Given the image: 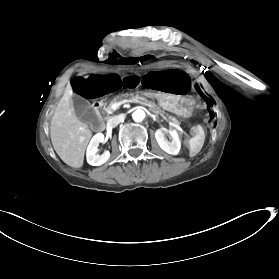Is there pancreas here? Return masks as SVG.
Wrapping results in <instances>:
<instances>
[{
	"label": "pancreas",
	"mask_w": 279,
	"mask_h": 279,
	"mask_svg": "<svg viewBox=\"0 0 279 279\" xmlns=\"http://www.w3.org/2000/svg\"><path fill=\"white\" fill-rule=\"evenodd\" d=\"M125 97H130V98H133L134 95L133 94H120V95H117L115 96L111 101L110 103L105 107V111L107 112H113V109H112V105L114 103H116L117 101L125 98ZM135 100L137 102H140L141 101V104L143 106H146L148 109H151V111L153 113H157L158 115H161V117L163 118H166V119H169V120H173L175 118V115L173 113H168L166 110H163L162 108H157L156 105L154 103H151L148 99L146 98H143L140 96V95H137L135 97Z\"/></svg>",
	"instance_id": "obj_1"
}]
</instances>
